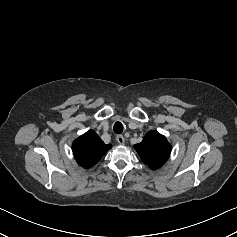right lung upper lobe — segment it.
Instances as JSON below:
<instances>
[{
	"instance_id": "cb5924a9",
	"label": "right lung upper lobe",
	"mask_w": 237,
	"mask_h": 237,
	"mask_svg": "<svg viewBox=\"0 0 237 237\" xmlns=\"http://www.w3.org/2000/svg\"><path fill=\"white\" fill-rule=\"evenodd\" d=\"M111 147L110 144H105L93 130L87 131L72 144L77 163L85 169L95 165Z\"/></svg>"
}]
</instances>
